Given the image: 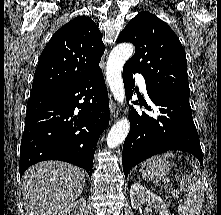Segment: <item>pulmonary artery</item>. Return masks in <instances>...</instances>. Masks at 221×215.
<instances>
[{
    "instance_id": "e3ab8cb5",
    "label": "pulmonary artery",
    "mask_w": 221,
    "mask_h": 215,
    "mask_svg": "<svg viewBox=\"0 0 221 215\" xmlns=\"http://www.w3.org/2000/svg\"><path fill=\"white\" fill-rule=\"evenodd\" d=\"M136 79H137V82H138V85L140 87V90L146 94L147 90H146V83H145V80L142 76H140L139 74H136Z\"/></svg>"
}]
</instances>
